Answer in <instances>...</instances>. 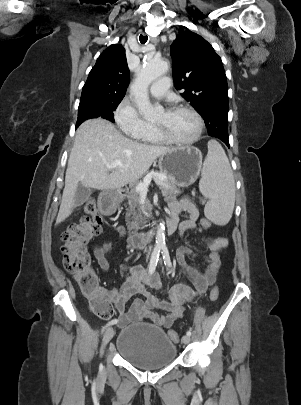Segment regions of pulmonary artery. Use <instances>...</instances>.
<instances>
[{
    "instance_id": "e3ab8cb5",
    "label": "pulmonary artery",
    "mask_w": 301,
    "mask_h": 405,
    "mask_svg": "<svg viewBox=\"0 0 301 405\" xmlns=\"http://www.w3.org/2000/svg\"><path fill=\"white\" fill-rule=\"evenodd\" d=\"M170 82L171 79L166 76L157 79L150 85V93L155 97L164 96L170 87Z\"/></svg>"
}]
</instances>
